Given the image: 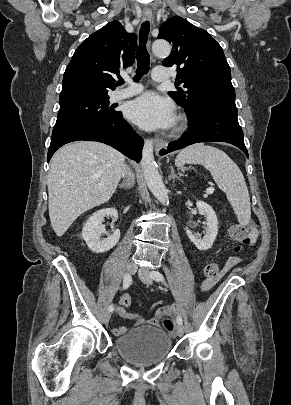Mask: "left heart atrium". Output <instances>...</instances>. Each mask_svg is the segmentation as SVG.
<instances>
[{
	"label": "left heart atrium",
	"mask_w": 291,
	"mask_h": 405,
	"mask_svg": "<svg viewBox=\"0 0 291 405\" xmlns=\"http://www.w3.org/2000/svg\"><path fill=\"white\" fill-rule=\"evenodd\" d=\"M128 118L145 130L168 128L174 124V106L170 100L147 92L127 106Z\"/></svg>",
	"instance_id": "left-heart-atrium-1"
}]
</instances>
